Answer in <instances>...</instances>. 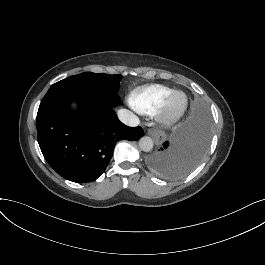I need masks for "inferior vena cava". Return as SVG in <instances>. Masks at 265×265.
I'll use <instances>...</instances> for the list:
<instances>
[{"label":"inferior vena cava","mask_w":265,"mask_h":265,"mask_svg":"<svg viewBox=\"0 0 265 265\" xmlns=\"http://www.w3.org/2000/svg\"><path fill=\"white\" fill-rule=\"evenodd\" d=\"M118 118L123 124L129 127H137L140 125L139 119L132 112L125 109H121L118 112Z\"/></svg>","instance_id":"inferior-vena-cava-1"}]
</instances>
